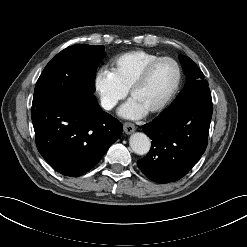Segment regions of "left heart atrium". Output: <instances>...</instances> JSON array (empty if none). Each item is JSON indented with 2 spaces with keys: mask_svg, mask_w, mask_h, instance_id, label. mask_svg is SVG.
<instances>
[{
  "mask_svg": "<svg viewBox=\"0 0 247 247\" xmlns=\"http://www.w3.org/2000/svg\"><path fill=\"white\" fill-rule=\"evenodd\" d=\"M148 109L136 99H129L118 111L119 115L127 119H140L148 113Z\"/></svg>",
  "mask_w": 247,
  "mask_h": 247,
  "instance_id": "1",
  "label": "left heart atrium"
}]
</instances>
